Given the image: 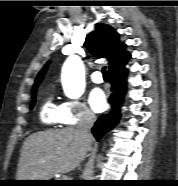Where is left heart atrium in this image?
I'll return each instance as SVG.
<instances>
[{"instance_id":"left-heart-atrium-1","label":"left heart atrium","mask_w":178,"mask_h":186,"mask_svg":"<svg viewBox=\"0 0 178 186\" xmlns=\"http://www.w3.org/2000/svg\"><path fill=\"white\" fill-rule=\"evenodd\" d=\"M89 103L96 112H101L106 107V96L100 88H95L90 92Z\"/></svg>"}]
</instances>
